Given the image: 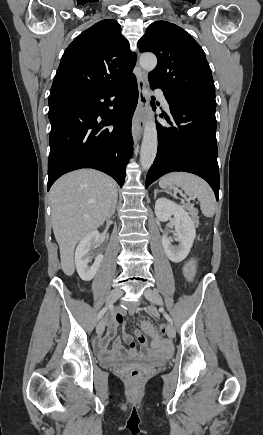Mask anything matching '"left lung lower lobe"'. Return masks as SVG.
Returning a JSON list of instances; mask_svg holds the SVG:
<instances>
[{
    "mask_svg": "<svg viewBox=\"0 0 263 435\" xmlns=\"http://www.w3.org/2000/svg\"><path fill=\"white\" fill-rule=\"evenodd\" d=\"M165 97L176 126L167 128L157 123L158 152L147 174L146 188L169 172H190L206 180L218 200L215 108Z\"/></svg>",
    "mask_w": 263,
    "mask_h": 435,
    "instance_id": "obj_1",
    "label": "left lung lower lobe"
}]
</instances>
